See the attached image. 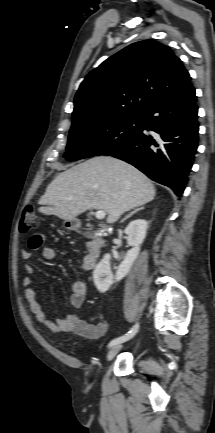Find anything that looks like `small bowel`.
Returning <instances> with one entry per match:
<instances>
[{
	"mask_svg": "<svg viewBox=\"0 0 215 433\" xmlns=\"http://www.w3.org/2000/svg\"><path fill=\"white\" fill-rule=\"evenodd\" d=\"M44 241L45 237L42 234L31 236L28 240L27 247L21 251L22 259L29 260L32 256V252L41 248ZM42 256L46 261H54L56 258L55 251L48 247L42 248ZM94 265L95 261L89 256V254L85 255L82 261L83 269L90 270L94 267ZM24 271L27 274L22 280L24 298L28 303L31 313L35 316L36 320L40 324L55 333L73 332L78 336L88 339H98L104 335L108 327L106 322L90 324L84 321L76 313L51 320L36 299V293L33 288L32 280L29 276L33 273V267L30 264H25ZM85 299V282H73L71 292L69 294V304L73 308H80L84 304Z\"/></svg>",
	"mask_w": 215,
	"mask_h": 433,
	"instance_id": "1",
	"label": "small bowel"
}]
</instances>
